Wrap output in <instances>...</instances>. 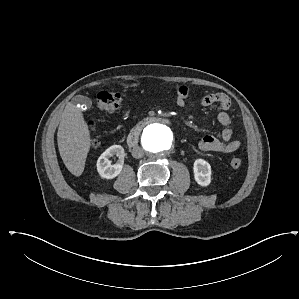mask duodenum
Instances as JSON below:
<instances>
[{
	"label": "duodenum",
	"mask_w": 299,
	"mask_h": 299,
	"mask_svg": "<svg viewBox=\"0 0 299 299\" xmlns=\"http://www.w3.org/2000/svg\"><path fill=\"white\" fill-rule=\"evenodd\" d=\"M160 121H165L168 122L167 119L163 118V117H159V116H147L144 117L142 119H140L135 125L134 127L131 129L128 138H127V143L129 146H135L137 144L139 135L142 131V129L150 124V123H154V122H160Z\"/></svg>",
	"instance_id": "1"
}]
</instances>
